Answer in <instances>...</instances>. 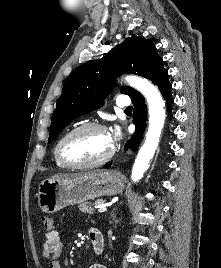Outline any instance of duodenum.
<instances>
[{
    "label": "duodenum",
    "mask_w": 221,
    "mask_h": 268,
    "mask_svg": "<svg viewBox=\"0 0 221 268\" xmlns=\"http://www.w3.org/2000/svg\"><path fill=\"white\" fill-rule=\"evenodd\" d=\"M90 240L94 252L96 254H101L105 246V240L103 234L97 229H92L90 232Z\"/></svg>",
    "instance_id": "duodenum-1"
}]
</instances>
